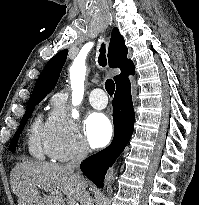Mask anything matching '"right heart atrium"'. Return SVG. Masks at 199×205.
<instances>
[{
    "mask_svg": "<svg viewBox=\"0 0 199 205\" xmlns=\"http://www.w3.org/2000/svg\"><path fill=\"white\" fill-rule=\"evenodd\" d=\"M48 155L55 161L67 162L85 157L90 148L61 98L53 99V107L44 125Z\"/></svg>",
    "mask_w": 199,
    "mask_h": 205,
    "instance_id": "d8ad5b80",
    "label": "right heart atrium"
}]
</instances>
